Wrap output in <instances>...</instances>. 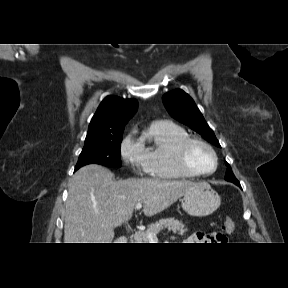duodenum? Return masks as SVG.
<instances>
[{
  "instance_id": "duodenum-1",
  "label": "duodenum",
  "mask_w": 288,
  "mask_h": 288,
  "mask_svg": "<svg viewBox=\"0 0 288 288\" xmlns=\"http://www.w3.org/2000/svg\"><path fill=\"white\" fill-rule=\"evenodd\" d=\"M120 240L122 241V243H130L131 242V238L129 236H122L120 238Z\"/></svg>"
}]
</instances>
